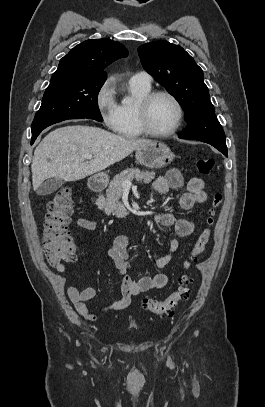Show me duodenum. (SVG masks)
<instances>
[{
	"mask_svg": "<svg viewBox=\"0 0 265 407\" xmlns=\"http://www.w3.org/2000/svg\"><path fill=\"white\" fill-rule=\"evenodd\" d=\"M89 185H90L91 190L94 192H100L104 188V184L101 181H99L98 179H91Z\"/></svg>",
	"mask_w": 265,
	"mask_h": 407,
	"instance_id": "duodenum-1",
	"label": "duodenum"
}]
</instances>
